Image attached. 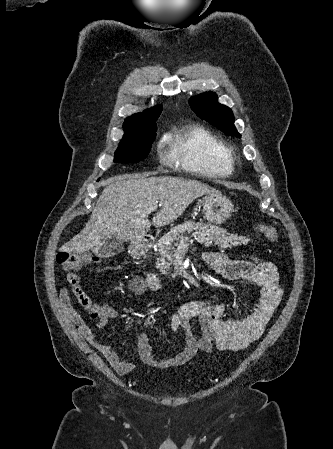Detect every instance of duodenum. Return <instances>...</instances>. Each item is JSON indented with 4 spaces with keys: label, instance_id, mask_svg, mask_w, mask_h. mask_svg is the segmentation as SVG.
Wrapping results in <instances>:
<instances>
[{
    "label": "duodenum",
    "instance_id": "duodenum-1",
    "mask_svg": "<svg viewBox=\"0 0 333 449\" xmlns=\"http://www.w3.org/2000/svg\"><path fill=\"white\" fill-rule=\"evenodd\" d=\"M154 238L146 236L138 239L132 245L131 252L134 256L140 257L146 254L153 246ZM148 285L152 290H159L162 288V281L155 274H150L148 277Z\"/></svg>",
    "mask_w": 333,
    "mask_h": 449
}]
</instances>
